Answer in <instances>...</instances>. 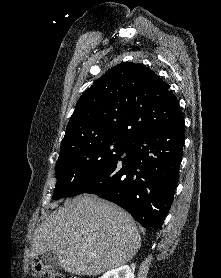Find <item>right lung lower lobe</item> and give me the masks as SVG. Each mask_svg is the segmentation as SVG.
<instances>
[{"label": "right lung lower lobe", "instance_id": "98d812e1", "mask_svg": "<svg viewBox=\"0 0 221 278\" xmlns=\"http://www.w3.org/2000/svg\"><path fill=\"white\" fill-rule=\"evenodd\" d=\"M184 119L129 139L124 154L72 196L96 194L127 210L143 227L161 229L175 193Z\"/></svg>", "mask_w": 221, "mask_h": 278}]
</instances>
